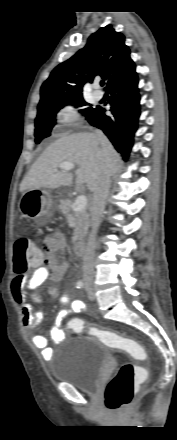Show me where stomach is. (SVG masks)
<instances>
[{
	"label": "stomach",
	"instance_id": "1",
	"mask_svg": "<svg viewBox=\"0 0 177 440\" xmlns=\"http://www.w3.org/2000/svg\"><path fill=\"white\" fill-rule=\"evenodd\" d=\"M19 210L24 217L45 224L54 215L57 207L49 191L39 188L29 189L22 194Z\"/></svg>",
	"mask_w": 177,
	"mask_h": 440
}]
</instances>
